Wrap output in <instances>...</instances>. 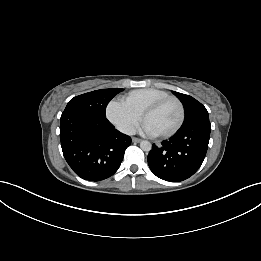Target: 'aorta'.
<instances>
[{"instance_id": "obj_1", "label": "aorta", "mask_w": 261, "mask_h": 261, "mask_svg": "<svg viewBox=\"0 0 261 261\" xmlns=\"http://www.w3.org/2000/svg\"><path fill=\"white\" fill-rule=\"evenodd\" d=\"M151 143L149 141H141L140 148L143 151H150L151 150Z\"/></svg>"}]
</instances>
